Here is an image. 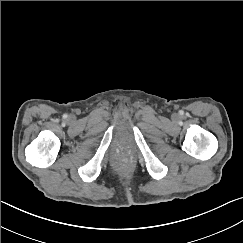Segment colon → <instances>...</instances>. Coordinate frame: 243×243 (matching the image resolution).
I'll use <instances>...</instances> for the list:
<instances>
[{
  "mask_svg": "<svg viewBox=\"0 0 243 243\" xmlns=\"http://www.w3.org/2000/svg\"><path fill=\"white\" fill-rule=\"evenodd\" d=\"M115 165L116 167L120 168V169H125L128 167L129 162L126 158L124 157H119L115 160Z\"/></svg>",
  "mask_w": 243,
  "mask_h": 243,
  "instance_id": "5ec220e1",
  "label": "colon"
}]
</instances>
